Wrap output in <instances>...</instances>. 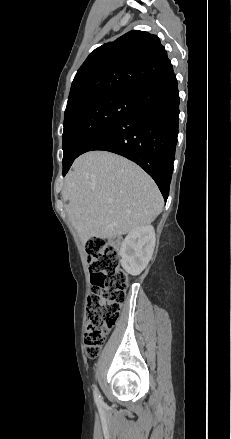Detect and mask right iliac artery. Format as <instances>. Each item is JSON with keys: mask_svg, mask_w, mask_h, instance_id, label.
<instances>
[{"mask_svg": "<svg viewBox=\"0 0 231 439\" xmlns=\"http://www.w3.org/2000/svg\"><path fill=\"white\" fill-rule=\"evenodd\" d=\"M94 396H95L96 404H97L98 406H102V405H103V402H102L101 396L98 394L96 388H95V390H94Z\"/></svg>", "mask_w": 231, "mask_h": 439, "instance_id": "obj_1", "label": "right iliac artery"}]
</instances>
